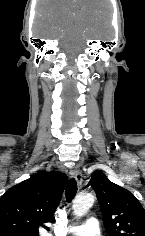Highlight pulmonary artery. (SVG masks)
Here are the masks:
<instances>
[{
  "instance_id": "e3ab8cb5",
  "label": "pulmonary artery",
  "mask_w": 145,
  "mask_h": 236,
  "mask_svg": "<svg viewBox=\"0 0 145 236\" xmlns=\"http://www.w3.org/2000/svg\"><path fill=\"white\" fill-rule=\"evenodd\" d=\"M64 232L74 236H100L99 222L95 218H89L85 224L70 226Z\"/></svg>"
}]
</instances>
